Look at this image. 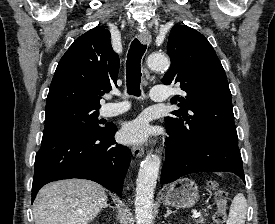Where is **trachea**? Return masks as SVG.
Segmentation results:
<instances>
[{
	"label": "trachea",
	"instance_id": "trachea-1",
	"mask_svg": "<svg viewBox=\"0 0 275 224\" xmlns=\"http://www.w3.org/2000/svg\"><path fill=\"white\" fill-rule=\"evenodd\" d=\"M146 48L138 39H134L130 45L126 61L127 92L130 95H141V59Z\"/></svg>",
	"mask_w": 275,
	"mask_h": 224
}]
</instances>
